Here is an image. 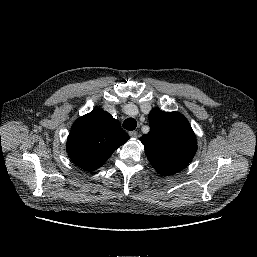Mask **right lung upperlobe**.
I'll use <instances>...</instances> for the list:
<instances>
[{"label": "right lung upper lobe", "instance_id": "1", "mask_svg": "<svg viewBox=\"0 0 257 257\" xmlns=\"http://www.w3.org/2000/svg\"><path fill=\"white\" fill-rule=\"evenodd\" d=\"M128 139L129 136L113 116L95 109L74 122L66 148L77 166L94 171Z\"/></svg>", "mask_w": 257, "mask_h": 257}]
</instances>
